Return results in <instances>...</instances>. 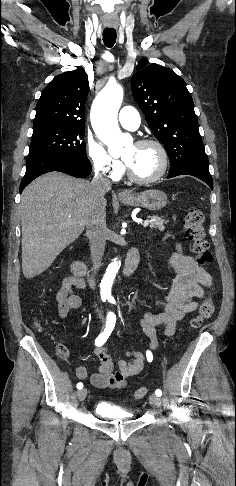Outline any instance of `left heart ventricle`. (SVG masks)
Wrapping results in <instances>:
<instances>
[{"mask_svg": "<svg viewBox=\"0 0 236 486\" xmlns=\"http://www.w3.org/2000/svg\"><path fill=\"white\" fill-rule=\"evenodd\" d=\"M123 159L132 172L142 178L154 175L161 165L160 153L153 145H131L126 149Z\"/></svg>", "mask_w": 236, "mask_h": 486, "instance_id": "left-heart-ventricle-1", "label": "left heart ventricle"}]
</instances>
